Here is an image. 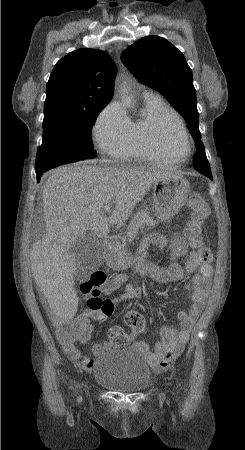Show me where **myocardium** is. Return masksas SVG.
Returning a JSON list of instances; mask_svg holds the SVG:
<instances>
[{
	"label": "myocardium",
	"instance_id": "1",
	"mask_svg": "<svg viewBox=\"0 0 245 450\" xmlns=\"http://www.w3.org/2000/svg\"><path fill=\"white\" fill-rule=\"evenodd\" d=\"M169 120L173 121V122L176 124V126L179 128V130L181 131L182 135L184 136L185 141H186V144H187V148H188L187 153L184 154V155H176V154L172 153V152H171V151H170V150L162 143V141H161V139H160V136H159V133H158V131H156L155 127H154V129H153V131H152V135H151L152 145H153V147H154L156 150H158L159 152H161V153H163V154H165V155L171 157L172 159H175V160H184V159H187V158L191 155V153H192V151H193V146H192V141H191L190 135H189L187 129L185 128V126H184L180 121H178V120H176V119H174V118H171V117H163V118H161V119L157 122V124H163L164 122L169 121ZM157 124H156V125H157ZM156 125H155V126H156Z\"/></svg>",
	"mask_w": 245,
	"mask_h": 450
}]
</instances>
